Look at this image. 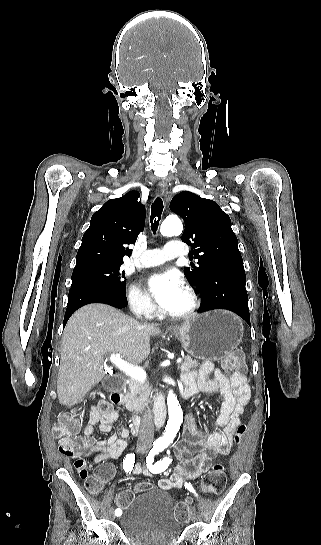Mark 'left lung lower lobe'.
<instances>
[{
    "label": "left lung lower lobe",
    "mask_w": 321,
    "mask_h": 545,
    "mask_svg": "<svg viewBox=\"0 0 321 545\" xmlns=\"http://www.w3.org/2000/svg\"><path fill=\"white\" fill-rule=\"evenodd\" d=\"M246 275L243 262L221 265L212 270L198 288L201 295L199 312L227 309L250 325Z\"/></svg>",
    "instance_id": "obj_1"
}]
</instances>
